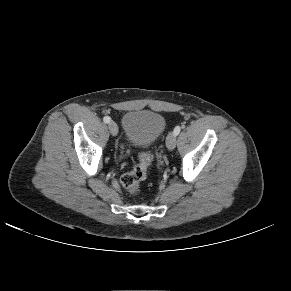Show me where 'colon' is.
I'll use <instances>...</instances> for the list:
<instances>
[{
  "label": "colon",
  "mask_w": 291,
  "mask_h": 291,
  "mask_svg": "<svg viewBox=\"0 0 291 291\" xmlns=\"http://www.w3.org/2000/svg\"><path fill=\"white\" fill-rule=\"evenodd\" d=\"M152 160L153 156L150 152H143L139 155L138 163L122 175L121 184L130 194L139 192L140 184L145 180Z\"/></svg>",
  "instance_id": "1"
}]
</instances>
